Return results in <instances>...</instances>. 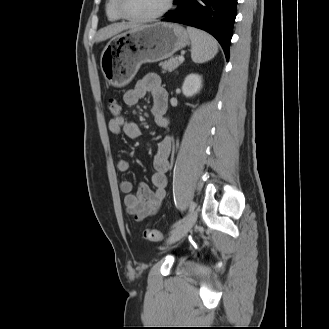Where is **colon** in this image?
<instances>
[{
	"instance_id": "1",
	"label": "colon",
	"mask_w": 329,
	"mask_h": 329,
	"mask_svg": "<svg viewBox=\"0 0 329 329\" xmlns=\"http://www.w3.org/2000/svg\"><path fill=\"white\" fill-rule=\"evenodd\" d=\"M108 105L113 117L120 116L122 107L118 100L111 98L109 99ZM143 238L148 241L161 242L164 240L165 235L163 231L148 228L143 231Z\"/></svg>"
}]
</instances>
